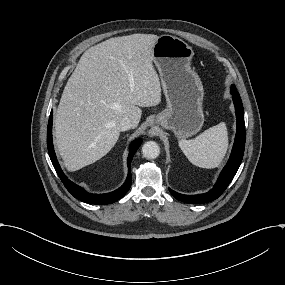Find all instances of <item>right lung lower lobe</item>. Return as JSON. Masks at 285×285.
Returning a JSON list of instances; mask_svg holds the SVG:
<instances>
[{
  "mask_svg": "<svg viewBox=\"0 0 285 285\" xmlns=\"http://www.w3.org/2000/svg\"><path fill=\"white\" fill-rule=\"evenodd\" d=\"M52 118H53V111H51V113H50L48 128H47V148H48V152H49L51 162H52L59 178L61 179V181L63 182V184L67 188V190L75 198H77L80 201H83L85 203H89V204L106 205V204H111V203L119 200L120 198H122L127 193V191L130 189V186H131L130 164H131V161H132V158H133L135 152L137 151V149L141 145L142 141L140 139L135 140L130 146V149H129L130 151H129V155H128V159H127L128 176H127L125 183L119 189H117L116 191H113L111 193L90 194V193H87L81 187H79L76 184H74L73 182H71L64 175L63 171L61 170L60 165L56 159V155H55L54 148H53Z\"/></svg>",
  "mask_w": 285,
  "mask_h": 285,
  "instance_id": "1",
  "label": "right lung lower lobe"
}]
</instances>
